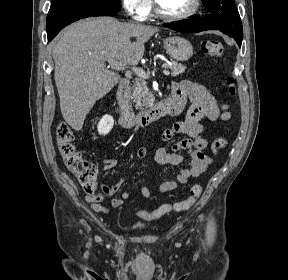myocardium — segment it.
<instances>
[{
  "label": "myocardium",
  "mask_w": 288,
  "mask_h": 280,
  "mask_svg": "<svg viewBox=\"0 0 288 280\" xmlns=\"http://www.w3.org/2000/svg\"><path fill=\"white\" fill-rule=\"evenodd\" d=\"M200 6H201V0H194L193 6L187 12L183 14H179V15H170V14L165 13L161 9L158 1L155 0V12L157 16L167 21H183V20L189 19L199 11Z\"/></svg>",
  "instance_id": "obj_1"
}]
</instances>
